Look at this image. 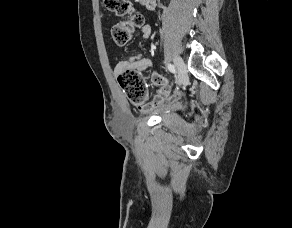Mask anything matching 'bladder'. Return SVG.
<instances>
[{"label":"bladder","instance_id":"bladder-1","mask_svg":"<svg viewBox=\"0 0 292 228\" xmlns=\"http://www.w3.org/2000/svg\"><path fill=\"white\" fill-rule=\"evenodd\" d=\"M176 110H178V108H176V109L172 110L171 112H174V111H176Z\"/></svg>","mask_w":292,"mask_h":228}]
</instances>
